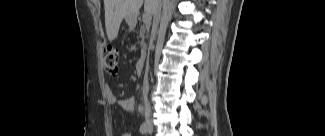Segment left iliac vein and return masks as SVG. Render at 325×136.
I'll return each instance as SVG.
<instances>
[{"mask_svg":"<svg viewBox=\"0 0 325 136\" xmlns=\"http://www.w3.org/2000/svg\"><path fill=\"white\" fill-rule=\"evenodd\" d=\"M153 131V125L151 122L148 123V132H152Z\"/></svg>","mask_w":325,"mask_h":136,"instance_id":"obj_1","label":"left iliac vein"}]
</instances>
